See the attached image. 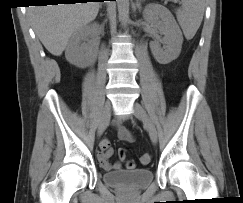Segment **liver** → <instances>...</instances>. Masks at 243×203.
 <instances>
[{
  "mask_svg": "<svg viewBox=\"0 0 243 203\" xmlns=\"http://www.w3.org/2000/svg\"><path fill=\"white\" fill-rule=\"evenodd\" d=\"M99 6V2L31 6L28 14L45 48L60 56L72 34L96 18Z\"/></svg>",
  "mask_w": 243,
  "mask_h": 203,
  "instance_id": "6515ba94",
  "label": "liver"
}]
</instances>
